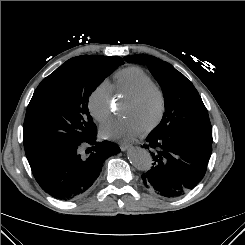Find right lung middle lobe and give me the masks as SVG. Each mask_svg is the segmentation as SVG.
Returning a JSON list of instances; mask_svg holds the SVG:
<instances>
[{"label": "right lung middle lobe", "instance_id": "right-lung-middle-lobe-1", "mask_svg": "<svg viewBox=\"0 0 245 245\" xmlns=\"http://www.w3.org/2000/svg\"><path fill=\"white\" fill-rule=\"evenodd\" d=\"M120 57L83 55L47 76L27 107L23 142L28 161L76 146L97 133L88 110L91 93L119 65Z\"/></svg>", "mask_w": 245, "mask_h": 245}]
</instances>
